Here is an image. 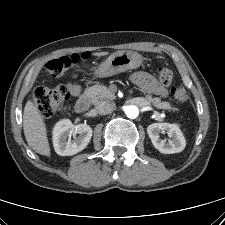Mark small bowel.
<instances>
[{
  "instance_id": "obj_1",
  "label": "small bowel",
  "mask_w": 225,
  "mask_h": 225,
  "mask_svg": "<svg viewBox=\"0 0 225 225\" xmlns=\"http://www.w3.org/2000/svg\"><path fill=\"white\" fill-rule=\"evenodd\" d=\"M131 78L133 83L141 88L144 92L166 97V87L151 74L145 71H137L132 75ZM67 88L74 98H77L81 94L82 87L77 81L69 82Z\"/></svg>"
}]
</instances>
